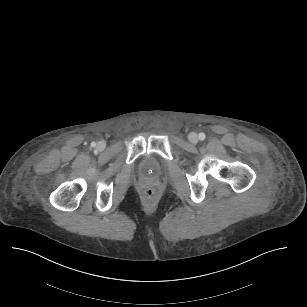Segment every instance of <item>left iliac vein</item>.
I'll return each mask as SVG.
<instances>
[{"label":"left iliac vein","mask_w":307,"mask_h":307,"mask_svg":"<svg viewBox=\"0 0 307 307\" xmlns=\"http://www.w3.org/2000/svg\"><path fill=\"white\" fill-rule=\"evenodd\" d=\"M189 141L193 144H196L198 142V136L196 133L189 134Z\"/></svg>","instance_id":"left-iliac-vein-1"}]
</instances>
